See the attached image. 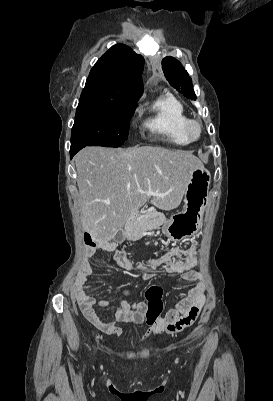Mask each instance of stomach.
<instances>
[{
	"label": "stomach",
	"instance_id": "stomach-1",
	"mask_svg": "<svg viewBox=\"0 0 273 401\" xmlns=\"http://www.w3.org/2000/svg\"><path fill=\"white\" fill-rule=\"evenodd\" d=\"M211 174L204 166L193 168L184 192V207L181 213L172 215L162 231L172 241L190 239L202 227L204 213L209 205Z\"/></svg>",
	"mask_w": 273,
	"mask_h": 401
}]
</instances>
